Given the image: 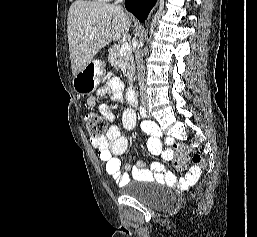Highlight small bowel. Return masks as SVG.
<instances>
[{"label": "small bowel", "instance_id": "1", "mask_svg": "<svg viewBox=\"0 0 257 237\" xmlns=\"http://www.w3.org/2000/svg\"><path fill=\"white\" fill-rule=\"evenodd\" d=\"M124 85L119 78H111L106 84L102 85L98 94L90 96L87 99L89 106H94L99 97L109 96L113 100H121L123 97ZM99 111L105 119L112 125L107 130L106 136L102 138H92L91 144L96 150L99 159L104 162L105 170L108 175L113 177L118 186L125 185L129 179V172L134 180H149L155 179L173 185L177 183V177L174 173L167 171L164 166L158 162H153L151 169H145L144 163L138 159H134L132 163L127 164L122 168V164L118 156L126 152L129 146V140L121 133V130L114 123L116 115L110 109L107 103L99 105ZM137 119L134 108H126L122 114V123L125 129L132 130ZM142 129L151 135L148 143L149 152L153 155L159 154L161 151L165 158L172 157V151L169 148H162V142L159 139L160 131L154 123L144 121ZM170 142V140H168ZM188 161V158H185ZM200 174V167L193 166L186 175V181L194 182Z\"/></svg>", "mask_w": 257, "mask_h": 237}]
</instances>
